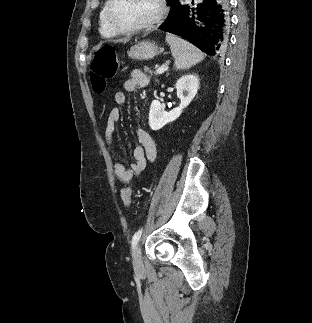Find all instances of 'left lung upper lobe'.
I'll list each match as a JSON object with an SVG mask.
<instances>
[{
	"instance_id": "obj_1",
	"label": "left lung upper lobe",
	"mask_w": 312,
	"mask_h": 323,
	"mask_svg": "<svg viewBox=\"0 0 312 323\" xmlns=\"http://www.w3.org/2000/svg\"><path fill=\"white\" fill-rule=\"evenodd\" d=\"M167 1H168V4L171 6V9L167 19L164 22L169 21L174 16L175 11L177 10V7L180 3V0H167Z\"/></svg>"
}]
</instances>
